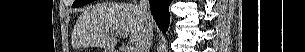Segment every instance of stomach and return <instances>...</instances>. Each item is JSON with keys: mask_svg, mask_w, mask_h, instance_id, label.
Returning <instances> with one entry per match:
<instances>
[{"mask_svg": "<svg viewBox=\"0 0 305 52\" xmlns=\"http://www.w3.org/2000/svg\"><path fill=\"white\" fill-rule=\"evenodd\" d=\"M105 52H111L110 50H108V51H105Z\"/></svg>", "mask_w": 305, "mask_h": 52, "instance_id": "obj_1", "label": "stomach"}]
</instances>
